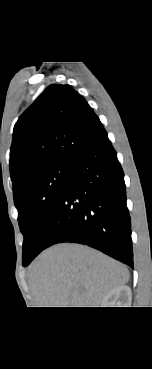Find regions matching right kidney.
Listing matches in <instances>:
<instances>
[{
	"label": "right kidney",
	"mask_w": 152,
	"mask_h": 369,
	"mask_svg": "<svg viewBox=\"0 0 152 369\" xmlns=\"http://www.w3.org/2000/svg\"><path fill=\"white\" fill-rule=\"evenodd\" d=\"M131 300V289L123 285L111 290L103 299L102 307H127Z\"/></svg>",
	"instance_id": "ca27d5eb"
}]
</instances>
